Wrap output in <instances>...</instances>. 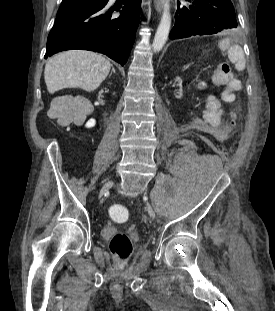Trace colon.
Returning <instances> with one entry per match:
<instances>
[{"label": "colon", "instance_id": "1", "mask_svg": "<svg viewBox=\"0 0 275 311\" xmlns=\"http://www.w3.org/2000/svg\"><path fill=\"white\" fill-rule=\"evenodd\" d=\"M239 67L243 65L242 57H239V62H235ZM239 88L237 82L229 83L223 91L222 98L226 102H231L235 98V91ZM49 114L52 118L58 120L61 123H68L74 119V116L62 105H53L49 110ZM81 120H79L80 122ZM234 124V122H233ZM216 127V126H215ZM110 215L118 220H125L128 218V211L119 205H113L109 208ZM109 249L118 262L122 263L132 253L133 245L129 236L123 232L115 233L110 242Z\"/></svg>", "mask_w": 275, "mask_h": 311}]
</instances>
